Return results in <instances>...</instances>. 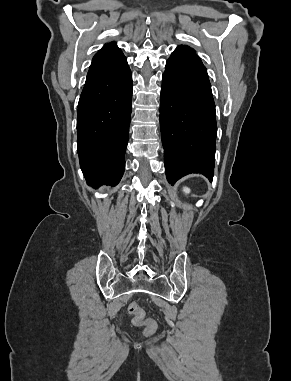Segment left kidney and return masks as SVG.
<instances>
[{
	"label": "left kidney",
	"mask_w": 291,
	"mask_h": 381,
	"mask_svg": "<svg viewBox=\"0 0 291 381\" xmlns=\"http://www.w3.org/2000/svg\"><path fill=\"white\" fill-rule=\"evenodd\" d=\"M183 191L186 194L190 193V189L188 187H183Z\"/></svg>",
	"instance_id": "left-kidney-1"
}]
</instances>
